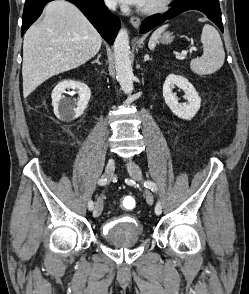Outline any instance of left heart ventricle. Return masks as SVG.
<instances>
[{
  "instance_id": "1",
  "label": "left heart ventricle",
  "mask_w": 249,
  "mask_h": 294,
  "mask_svg": "<svg viewBox=\"0 0 249 294\" xmlns=\"http://www.w3.org/2000/svg\"><path fill=\"white\" fill-rule=\"evenodd\" d=\"M159 1H161V0H145L142 7L152 6V5L156 4V3H158Z\"/></svg>"
}]
</instances>
